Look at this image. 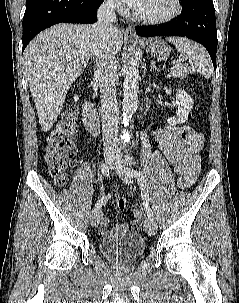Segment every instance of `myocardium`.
<instances>
[{
	"mask_svg": "<svg viewBox=\"0 0 239 303\" xmlns=\"http://www.w3.org/2000/svg\"><path fill=\"white\" fill-rule=\"evenodd\" d=\"M172 4H173V8L167 14L159 15V16H148V15H142L136 11L134 12V17L137 20L147 24H163L170 22L176 19L182 13V9H183L181 0H172Z\"/></svg>",
	"mask_w": 239,
	"mask_h": 303,
	"instance_id": "obj_1",
	"label": "myocardium"
}]
</instances>
